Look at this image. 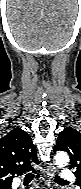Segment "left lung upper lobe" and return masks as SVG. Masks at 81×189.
<instances>
[{
	"instance_id": "obj_1",
	"label": "left lung upper lobe",
	"mask_w": 81,
	"mask_h": 189,
	"mask_svg": "<svg viewBox=\"0 0 81 189\" xmlns=\"http://www.w3.org/2000/svg\"><path fill=\"white\" fill-rule=\"evenodd\" d=\"M66 151L70 156L69 168L76 171V183L81 186V133L72 127L65 128L58 136L53 152Z\"/></svg>"
}]
</instances>
